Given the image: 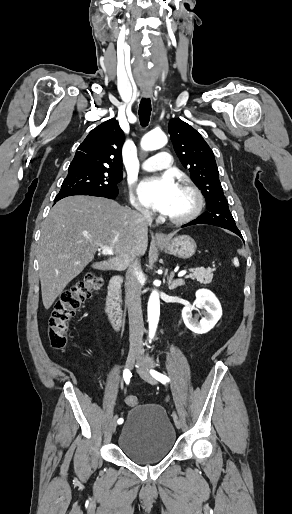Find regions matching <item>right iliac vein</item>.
<instances>
[{"mask_svg": "<svg viewBox=\"0 0 292 514\" xmlns=\"http://www.w3.org/2000/svg\"><path fill=\"white\" fill-rule=\"evenodd\" d=\"M136 364V357L135 356H129L126 360V367L128 369H133ZM111 431L114 432L117 427V417L115 416L111 422Z\"/></svg>", "mask_w": 292, "mask_h": 514, "instance_id": "right-iliac-vein-1", "label": "right iliac vein"}]
</instances>
